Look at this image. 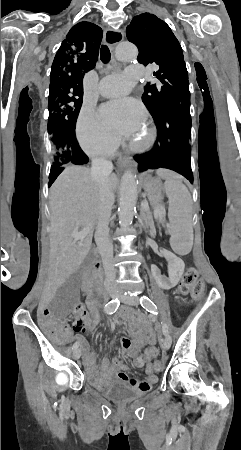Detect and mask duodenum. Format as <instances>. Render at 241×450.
I'll list each match as a JSON object with an SVG mask.
<instances>
[{"label":"duodenum","mask_w":241,"mask_h":450,"mask_svg":"<svg viewBox=\"0 0 241 450\" xmlns=\"http://www.w3.org/2000/svg\"><path fill=\"white\" fill-rule=\"evenodd\" d=\"M95 270L96 272L93 275H88L89 279V290L92 294V297L96 302H102L105 299L106 292L103 288L101 281L98 278L97 271L101 268V262L97 260L95 262Z\"/></svg>","instance_id":"1"}]
</instances>
